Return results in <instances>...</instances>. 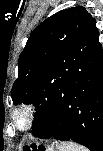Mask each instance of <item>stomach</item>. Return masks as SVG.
Wrapping results in <instances>:
<instances>
[{
    "label": "stomach",
    "instance_id": "stomach-1",
    "mask_svg": "<svg viewBox=\"0 0 103 151\" xmlns=\"http://www.w3.org/2000/svg\"><path fill=\"white\" fill-rule=\"evenodd\" d=\"M33 146V147H32ZM30 150H44V151H55L54 146L51 144H45L41 142L34 143L28 147Z\"/></svg>",
    "mask_w": 103,
    "mask_h": 151
}]
</instances>
